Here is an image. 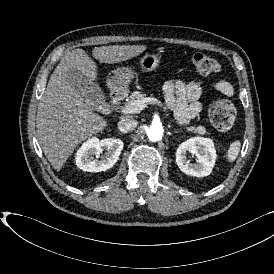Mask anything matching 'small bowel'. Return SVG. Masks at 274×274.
Listing matches in <instances>:
<instances>
[{
  "label": "small bowel",
  "mask_w": 274,
  "mask_h": 274,
  "mask_svg": "<svg viewBox=\"0 0 274 274\" xmlns=\"http://www.w3.org/2000/svg\"><path fill=\"white\" fill-rule=\"evenodd\" d=\"M202 87L201 80H193L188 83L181 80H169L165 83L163 90L166 105L173 111L179 123L185 124L202 112L203 107L199 101ZM211 88L227 97L234 94V87L225 80L212 82Z\"/></svg>",
  "instance_id": "small-bowel-1"
}]
</instances>
